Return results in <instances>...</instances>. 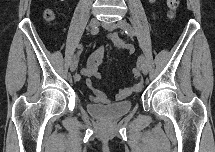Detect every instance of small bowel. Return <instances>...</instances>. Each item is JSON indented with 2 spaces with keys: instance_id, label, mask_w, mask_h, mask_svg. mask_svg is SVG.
<instances>
[{
  "instance_id": "small-bowel-1",
  "label": "small bowel",
  "mask_w": 215,
  "mask_h": 152,
  "mask_svg": "<svg viewBox=\"0 0 215 152\" xmlns=\"http://www.w3.org/2000/svg\"><path fill=\"white\" fill-rule=\"evenodd\" d=\"M108 39L114 44V46L121 50H126L130 54L134 53L133 47L120 38L117 33L108 35ZM105 51L103 46H99L95 49L87 58L85 66L81 69V75L86 77V85L91 91V100L98 103H107L108 97L104 92L99 90L93 83V80L101 78V67L103 64ZM75 80H80V75L75 76ZM141 89L140 83H135L125 88H122L117 98L119 100L139 92Z\"/></svg>"
}]
</instances>
